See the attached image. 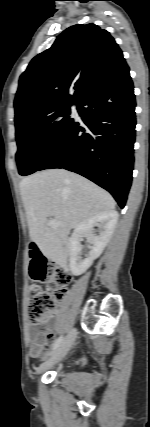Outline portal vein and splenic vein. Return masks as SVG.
Masks as SVG:
<instances>
[{
    "label": "portal vein and splenic vein",
    "mask_w": 150,
    "mask_h": 427,
    "mask_svg": "<svg viewBox=\"0 0 150 427\" xmlns=\"http://www.w3.org/2000/svg\"><path fill=\"white\" fill-rule=\"evenodd\" d=\"M58 222L56 221V220H54V219H50L48 222H47V225L48 226H50V227H57L58 226Z\"/></svg>",
    "instance_id": "portal-vein-and-splenic-vein-1"
}]
</instances>
